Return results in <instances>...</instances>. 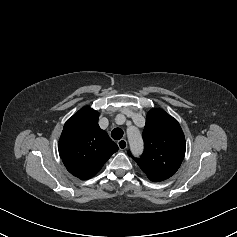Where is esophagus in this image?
Segmentation results:
<instances>
[{"label": "esophagus", "instance_id": "obj_1", "mask_svg": "<svg viewBox=\"0 0 237 237\" xmlns=\"http://www.w3.org/2000/svg\"><path fill=\"white\" fill-rule=\"evenodd\" d=\"M117 145L120 150H125L127 148V141L125 139H121L117 142Z\"/></svg>", "mask_w": 237, "mask_h": 237}]
</instances>
